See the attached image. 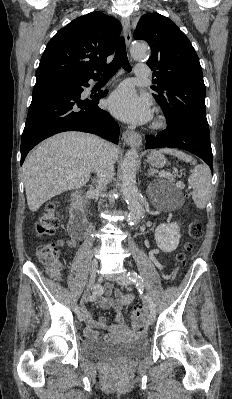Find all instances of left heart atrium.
Segmentation results:
<instances>
[{"label": "left heart atrium", "instance_id": "1", "mask_svg": "<svg viewBox=\"0 0 232 399\" xmlns=\"http://www.w3.org/2000/svg\"><path fill=\"white\" fill-rule=\"evenodd\" d=\"M107 108L117 119L143 125L151 121L153 110L146 96H138L131 87H119L108 99Z\"/></svg>", "mask_w": 232, "mask_h": 399}]
</instances>
